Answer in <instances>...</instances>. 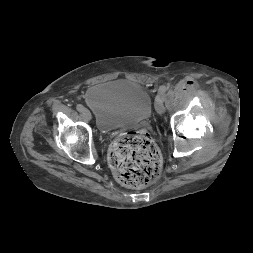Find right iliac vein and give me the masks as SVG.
Listing matches in <instances>:
<instances>
[{"mask_svg":"<svg viewBox=\"0 0 253 253\" xmlns=\"http://www.w3.org/2000/svg\"><path fill=\"white\" fill-rule=\"evenodd\" d=\"M82 116L85 117V119L90 120L91 119V113L88 109H84L82 112Z\"/></svg>","mask_w":253,"mask_h":253,"instance_id":"63e3f726","label":"right iliac vein"}]
</instances>
